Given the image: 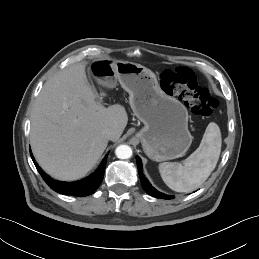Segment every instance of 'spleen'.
<instances>
[{
	"instance_id": "1",
	"label": "spleen",
	"mask_w": 259,
	"mask_h": 259,
	"mask_svg": "<svg viewBox=\"0 0 259 259\" xmlns=\"http://www.w3.org/2000/svg\"><path fill=\"white\" fill-rule=\"evenodd\" d=\"M219 126L208 124L199 147L183 164L164 162L159 172L164 183L176 192H191L199 188L215 169L221 153Z\"/></svg>"
}]
</instances>
